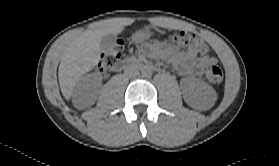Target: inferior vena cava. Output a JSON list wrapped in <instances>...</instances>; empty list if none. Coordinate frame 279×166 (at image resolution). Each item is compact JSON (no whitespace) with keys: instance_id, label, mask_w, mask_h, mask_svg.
Listing matches in <instances>:
<instances>
[{"instance_id":"1","label":"inferior vena cava","mask_w":279,"mask_h":166,"mask_svg":"<svg viewBox=\"0 0 279 166\" xmlns=\"http://www.w3.org/2000/svg\"><path fill=\"white\" fill-rule=\"evenodd\" d=\"M125 75L130 77V78H134V77H137L139 75V72H138V70L130 69V70L125 71Z\"/></svg>"}]
</instances>
